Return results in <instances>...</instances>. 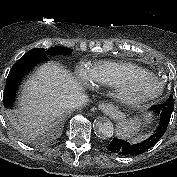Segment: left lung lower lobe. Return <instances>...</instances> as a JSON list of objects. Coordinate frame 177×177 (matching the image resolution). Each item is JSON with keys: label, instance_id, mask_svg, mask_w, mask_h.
<instances>
[{"label": "left lung lower lobe", "instance_id": "left-lung-lower-lobe-1", "mask_svg": "<svg viewBox=\"0 0 177 177\" xmlns=\"http://www.w3.org/2000/svg\"><path fill=\"white\" fill-rule=\"evenodd\" d=\"M173 109L174 107L171 104H166L165 102L162 105H155L151 108V110L160 117V121L154 134L143 142L131 145L125 140L114 138L106 148L109 151L122 156H132L144 153L153 147L166 132Z\"/></svg>", "mask_w": 177, "mask_h": 177}]
</instances>
